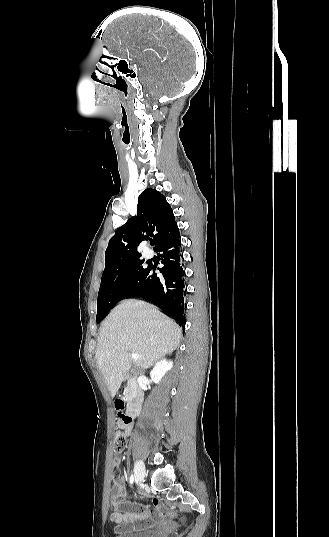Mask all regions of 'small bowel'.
Returning <instances> with one entry per match:
<instances>
[{
  "mask_svg": "<svg viewBox=\"0 0 329 537\" xmlns=\"http://www.w3.org/2000/svg\"><path fill=\"white\" fill-rule=\"evenodd\" d=\"M117 426L123 429L127 434L131 433L132 425L130 423L117 422ZM120 457L114 458V464L119 465ZM126 495L124 481L119 477L114 480L113 489L110 497V504L114 508L110 519L118 524L116 530L119 533L140 531L152 527L157 521L163 518L161 503L152 499L153 509L149 505L139 500H125ZM122 511V512H121Z\"/></svg>",
  "mask_w": 329,
  "mask_h": 537,
  "instance_id": "small-bowel-1",
  "label": "small bowel"
}]
</instances>
